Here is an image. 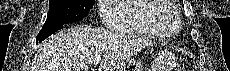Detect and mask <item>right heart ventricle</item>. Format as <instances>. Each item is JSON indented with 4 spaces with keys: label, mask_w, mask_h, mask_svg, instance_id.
Masks as SVG:
<instances>
[{
    "label": "right heart ventricle",
    "mask_w": 230,
    "mask_h": 71,
    "mask_svg": "<svg viewBox=\"0 0 230 71\" xmlns=\"http://www.w3.org/2000/svg\"><path fill=\"white\" fill-rule=\"evenodd\" d=\"M109 27L125 33L166 38L176 34L177 10L170 0H126L107 7Z\"/></svg>",
    "instance_id": "e07e8e85"
}]
</instances>
